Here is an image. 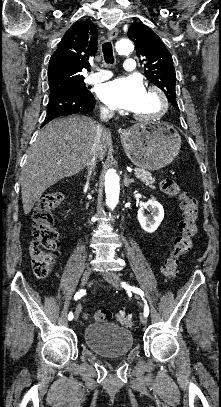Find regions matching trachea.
Masks as SVG:
<instances>
[{
  "label": "trachea",
  "mask_w": 221,
  "mask_h": 407,
  "mask_svg": "<svg viewBox=\"0 0 221 407\" xmlns=\"http://www.w3.org/2000/svg\"><path fill=\"white\" fill-rule=\"evenodd\" d=\"M102 51L104 55L105 62L108 64L114 63L113 48L110 42H105L102 45Z\"/></svg>",
  "instance_id": "3493384b"
}]
</instances>
